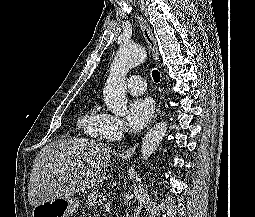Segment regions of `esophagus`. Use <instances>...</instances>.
Returning <instances> with one entry per match:
<instances>
[{
    "label": "esophagus",
    "mask_w": 255,
    "mask_h": 217,
    "mask_svg": "<svg viewBox=\"0 0 255 217\" xmlns=\"http://www.w3.org/2000/svg\"><path fill=\"white\" fill-rule=\"evenodd\" d=\"M141 29H142L143 35H144V37H145V39H146V41L149 45V48L151 50L152 56H153L156 64H159L158 44H157L156 39L153 36V33H152V30H151L150 26L148 25L146 20L141 21ZM163 99H164V92L162 94L161 101L159 103L157 113L154 117V120L156 119L157 115L160 113V107H161V103H162ZM137 146H138V144H136L135 146L123 151L120 154L121 158H123V159L130 158L135 153V150H136Z\"/></svg>",
    "instance_id": "1"
}]
</instances>
